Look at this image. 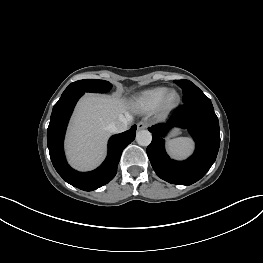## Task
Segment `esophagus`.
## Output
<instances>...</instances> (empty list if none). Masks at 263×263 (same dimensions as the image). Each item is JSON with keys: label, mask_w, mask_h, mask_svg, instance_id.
<instances>
[{"label": "esophagus", "mask_w": 263, "mask_h": 263, "mask_svg": "<svg viewBox=\"0 0 263 263\" xmlns=\"http://www.w3.org/2000/svg\"><path fill=\"white\" fill-rule=\"evenodd\" d=\"M147 127H148V123L145 122V121H140V122L137 124V128H138L139 130H141V129H146Z\"/></svg>", "instance_id": "1"}]
</instances>
